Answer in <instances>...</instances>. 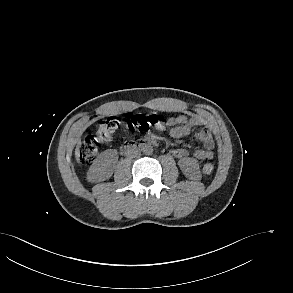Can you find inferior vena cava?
Instances as JSON below:
<instances>
[{"mask_svg": "<svg viewBox=\"0 0 293 293\" xmlns=\"http://www.w3.org/2000/svg\"><path fill=\"white\" fill-rule=\"evenodd\" d=\"M140 153H141V150L139 148L134 147L129 150L128 156L131 158H135V157H138Z\"/></svg>", "mask_w": 293, "mask_h": 293, "instance_id": "inferior-vena-cava-1", "label": "inferior vena cava"}]
</instances>
